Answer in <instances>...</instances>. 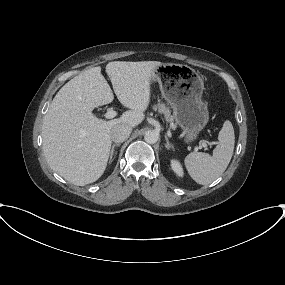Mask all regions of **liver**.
I'll list each match as a JSON object with an SVG mask.
<instances>
[{
	"instance_id": "obj_1",
	"label": "liver",
	"mask_w": 285,
	"mask_h": 285,
	"mask_svg": "<svg viewBox=\"0 0 285 285\" xmlns=\"http://www.w3.org/2000/svg\"><path fill=\"white\" fill-rule=\"evenodd\" d=\"M157 61H114L106 65L114 92L129 108L119 118L104 121L93 109L113 101V93L93 67L67 82L56 94L42 124L43 152L50 167L65 180L84 186L104 173L111 148V129L138 126L150 103V85Z\"/></svg>"
}]
</instances>
